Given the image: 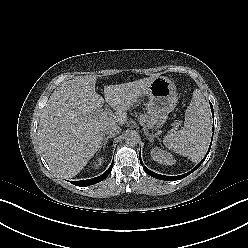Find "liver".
<instances>
[{
  "instance_id": "liver-1",
  "label": "liver",
  "mask_w": 248,
  "mask_h": 248,
  "mask_svg": "<svg viewBox=\"0 0 248 248\" xmlns=\"http://www.w3.org/2000/svg\"><path fill=\"white\" fill-rule=\"evenodd\" d=\"M104 87L105 100L95 91L96 76H77L57 87L43 108L38 139L51 169L63 178L76 176L94 156L109 124L123 125L126 111L155 78ZM106 101L115 114L103 116Z\"/></svg>"
}]
</instances>
